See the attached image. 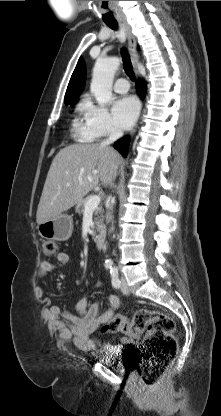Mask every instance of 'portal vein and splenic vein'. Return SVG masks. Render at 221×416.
Listing matches in <instances>:
<instances>
[{
	"mask_svg": "<svg viewBox=\"0 0 221 416\" xmlns=\"http://www.w3.org/2000/svg\"><path fill=\"white\" fill-rule=\"evenodd\" d=\"M101 202L100 195H93L89 198V200L85 204V213L94 211Z\"/></svg>",
	"mask_w": 221,
	"mask_h": 416,
	"instance_id": "1",
	"label": "portal vein and splenic vein"
}]
</instances>
